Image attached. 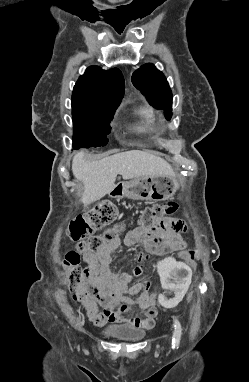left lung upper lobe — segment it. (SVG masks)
<instances>
[{
  "label": "left lung upper lobe",
  "instance_id": "5c2ea615",
  "mask_svg": "<svg viewBox=\"0 0 249 382\" xmlns=\"http://www.w3.org/2000/svg\"><path fill=\"white\" fill-rule=\"evenodd\" d=\"M133 85L157 109H163L167 119L172 116V93L161 71L153 64H145L132 75Z\"/></svg>",
  "mask_w": 249,
  "mask_h": 382
}]
</instances>
